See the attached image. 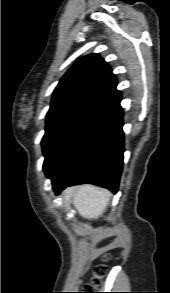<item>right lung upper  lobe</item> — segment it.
<instances>
[{
  "mask_svg": "<svg viewBox=\"0 0 170 293\" xmlns=\"http://www.w3.org/2000/svg\"><path fill=\"white\" fill-rule=\"evenodd\" d=\"M116 85L110 66L98 54L82 57L55 88L47 118L78 106L112 109L121 100Z\"/></svg>",
  "mask_w": 170,
  "mask_h": 293,
  "instance_id": "right-lung-upper-lobe-1",
  "label": "right lung upper lobe"
}]
</instances>
